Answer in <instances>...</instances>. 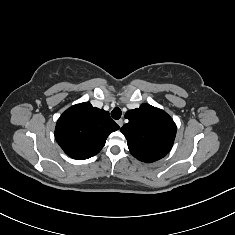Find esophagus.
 <instances>
[{
    "instance_id": "esophagus-1",
    "label": "esophagus",
    "mask_w": 235,
    "mask_h": 235,
    "mask_svg": "<svg viewBox=\"0 0 235 235\" xmlns=\"http://www.w3.org/2000/svg\"><path fill=\"white\" fill-rule=\"evenodd\" d=\"M117 124H118L120 127H122V126H123V120H122V119L117 120Z\"/></svg>"
}]
</instances>
